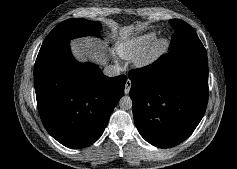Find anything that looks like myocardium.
I'll use <instances>...</instances> for the list:
<instances>
[{"instance_id": "myocardium-1", "label": "myocardium", "mask_w": 237, "mask_h": 169, "mask_svg": "<svg viewBox=\"0 0 237 169\" xmlns=\"http://www.w3.org/2000/svg\"><path fill=\"white\" fill-rule=\"evenodd\" d=\"M170 41L167 37H160L153 41L146 50L135 60V64L144 67L157 61L167 53Z\"/></svg>"}]
</instances>
